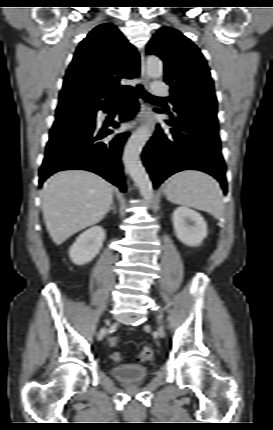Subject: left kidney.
<instances>
[{
  "label": "left kidney",
  "instance_id": "left-kidney-1",
  "mask_svg": "<svg viewBox=\"0 0 273 430\" xmlns=\"http://www.w3.org/2000/svg\"><path fill=\"white\" fill-rule=\"evenodd\" d=\"M172 221L176 237L187 246H199L207 236V223L195 210L178 207L173 213Z\"/></svg>",
  "mask_w": 273,
  "mask_h": 430
}]
</instances>
